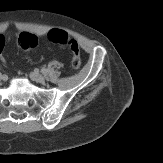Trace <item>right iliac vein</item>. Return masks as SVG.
I'll use <instances>...</instances> for the list:
<instances>
[{"instance_id":"right-iliac-vein-1","label":"right iliac vein","mask_w":163,"mask_h":163,"mask_svg":"<svg viewBox=\"0 0 163 163\" xmlns=\"http://www.w3.org/2000/svg\"><path fill=\"white\" fill-rule=\"evenodd\" d=\"M3 79V76L2 75H0V81Z\"/></svg>"}]
</instances>
